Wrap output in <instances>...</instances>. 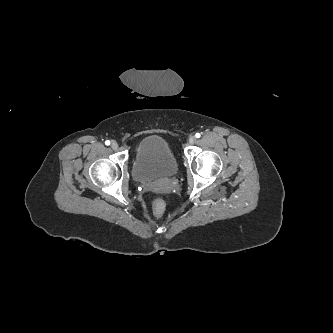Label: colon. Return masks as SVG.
<instances>
[{
    "mask_svg": "<svg viewBox=\"0 0 333 333\" xmlns=\"http://www.w3.org/2000/svg\"><path fill=\"white\" fill-rule=\"evenodd\" d=\"M165 210V204L163 200L157 199L153 205V212L156 216L160 217L163 215Z\"/></svg>",
    "mask_w": 333,
    "mask_h": 333,
    "instance_id": "obj_1",
    "label": "colon"
}]
</instances>
